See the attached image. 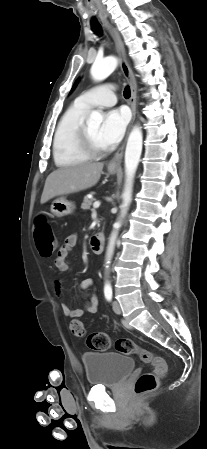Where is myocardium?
<instances>
[{
    "mask_svg": "<svg viewBox=\"0 0 207 449\" xmlns=\"http://www.w3.org/2000/svg\"><path fill=\"white\" fill-rule=\"evenodd\" d=\"M77 146L89 158L100 157L107 152L105 147H98L93 143L84 123L80 125L77 133Z\"/></svg>",
    "mask_w": 207,
    "mask_h": 449,
    "instance_id": "obj_1",
    "label": "myocardium"
}]
</instances>
